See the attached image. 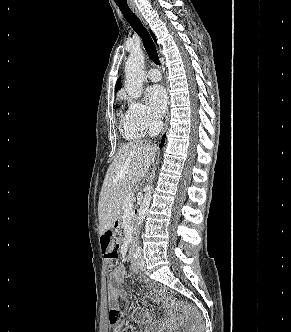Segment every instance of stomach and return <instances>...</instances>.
Returning <instances> with one entry per match:
<instances>
[{
  "instance_id": "0dacf381",
  "label": "stomach",
  "mask_w": 291,
  "mask_h": 332,
  "mask_svg": "<svg viewBox=\"0 0 291 332\" xmlns=\"http://www.w3.org/2000/svg\"><path fill=\"white\" fill-rule=\"evenodd\" d=\"M113 228H115V229H118L119 227H120V221L118 220V221H115L114 223H113V226H112Z\"/></svg>"
}]
</instances>
